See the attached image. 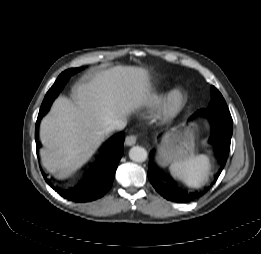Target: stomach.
Returning a JSON list of instances; mask_svg holds the SVG:
<instances>
[{"mask_svg": "<svg viewBox=\"0 0 261 254\" xmlns=\"http://www.w3.org/2000/svg\"><path fill=\"white\" fill-rule=\"evenodd\" d=\"M197 126L189 124L182 130H174L163 140L159 148V161L165 165L183 161L195 152Z\"/></svg>", "mask_w": 261, "mask_h": 254, "instance_id": "stomach-1", "label": "stomach"}]
</instances>
